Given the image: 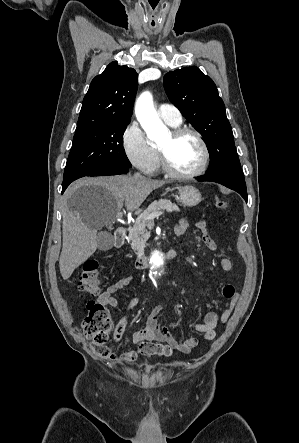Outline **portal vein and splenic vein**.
I'll use <instances>...</instances> for the list:
<instances>
[{
    "instance_id": "1",
    "label": "portal vein and splenic vein",
    "mask_w": 299,
    "mask_h": 443,
    "mask_svg": "<svg viewBox=\"0 0 299 443\" xmlns=\"http://www.w3.org/2000/svg\"><path fill=\"white\" fill-rule=\"evenodd\" d=\"M163 214V212H155V213H152V214H150L148 217H147V219L148 220H153V219H155V218H158L159 216H161ZM122 216V213L121 212H119V213H117V215H116V217H121Z\"/></svg>"
}]
</instances>
